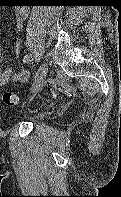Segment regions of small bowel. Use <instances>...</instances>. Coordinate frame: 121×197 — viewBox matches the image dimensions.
<instances>
[{
    "label": "small bowel",
    "mask_w": 121,
    "mask_h": 197,
    "mask_svg": "<svg viewBox=\"0 0 121 197\" xmlns=\"http://www.w3.org/2000/svg\"><path fill=\"white\" fill-rule=\"evenodd\" d=\"M15 15L17 18V30H20L22 27V23L27 17V9L23 7H18L15 10ZM1 22V18H0ZM0 34H1V29H0ZM15 49L17 52H19L20 49V41L17 40L15 42ZM2 62V50L0 47V64ZM29 77V72L27 69L22 68L21 71L18 74H14V71L11 67H6V68H0V86H5L10 82H26Z\"/></svg>",
    "instance_id": "obj_1"
}]
</instances>
